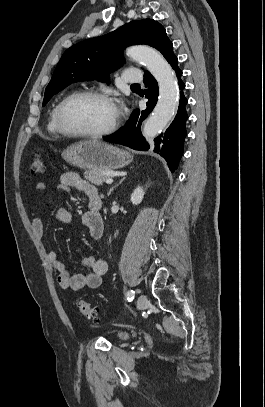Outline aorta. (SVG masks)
<instances>
[{"mask_svg": "<svg viewBox=\"0 0 265 407\" xmlns=\"http://www.w3.org/2000/svg\"><path fill=\"white\" fill-rule=\"evenodd\" d=\"M126 53L130 59L143 63L158 82V102L143 127L144 137L152 138L167 126L177 110L179 104L177 78L169 63L154 49L133 46L128 48Z\"/></svg>", "mask_w": 265, "mask_h": 407, "instance_id": "obj_1", "label": "aorta"}]
</instances>
